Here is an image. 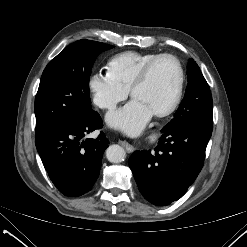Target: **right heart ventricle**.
<instances>
[{"mask_svg":"<svg viewBox=\"0 0 247 247\" xmlns=\"http://www.w3.org/2000/svg\"><path fill=\"white\" fill-rule=\"evenodd\" d=\"M155 56V53L126 51L117 54L108 62V71L128 90L143 66Z\"/></svg>","mask_w":247,"mask_h":247,"instance_id":"e07e8e85","label":"right heart ventricle"}]
</instances>
